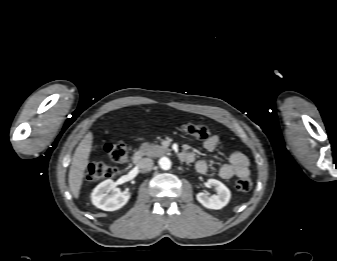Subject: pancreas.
Segmentation results:
<instances>
[{
  "label": "pancreas",
  "instance_id": "pancreas-1",
  "mask_svg": "<svg viewBox=\"0 0 337 261\" xmlns=\"http://www.w3.org/2000/svg\"><path fill=\"white\" fill-rule=\"evenodd\" d=\"M139 152L141 155L149 157H158L163 154H168L170 150L160 145L143 143L139 148Z\"/></svg>",
  "mask_w": 337,
  "mask_h": 261
}]
</instances>
